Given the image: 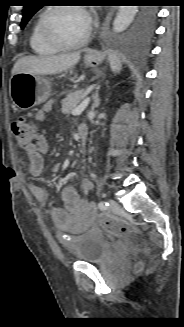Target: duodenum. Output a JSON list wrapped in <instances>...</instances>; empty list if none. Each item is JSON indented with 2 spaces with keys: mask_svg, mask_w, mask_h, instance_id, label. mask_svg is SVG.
<instances>
[{
  "mask_svg": "<svg viewBox=\"0 0 184 327\" xmlns=\"http://www.w3.org/2000/svg\"><path fill=\"white\" fill-rule=\"evenodd\" d=\"M78 132L82 145H85L87 142V135H88L87 128L85 126H80Z\"/></svg>",
  "mask_w": 184,
  "mask_h": 327,
  "instance_id": "410a0bca",
  "label": "duodenum"
}]
</instances>
